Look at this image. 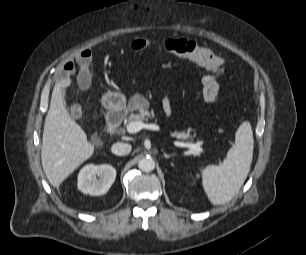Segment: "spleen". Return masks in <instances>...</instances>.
Here are the masks:
<instances>
[{"label": "spleen", "instance_id": "spleen-1", "mask_svg": "<svg viewBox=\"0 0 306 255\" xmlns=\"http://www.w3.org/2000/svg\"><path fill=\"white\" fill-rule=\"evenodd\" d=\"M253 132L249 121L236 131L235 144L228 150L224 161L209 165L202 171V185L213 205L229 202L243 185L253 157Z\"/></svg>", "mask_w": 306, "mask_h": 255}]
</instances>
